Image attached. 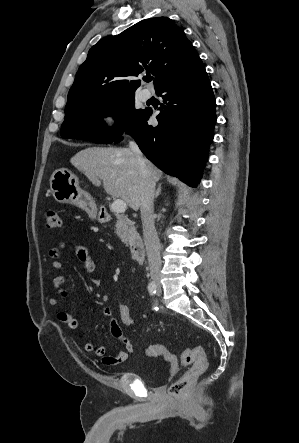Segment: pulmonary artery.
<instances>
[{
    "label": "pulmonary artery",
    "mask_w": 299,
    "mask_h": 443,
    "mask_svg": "<svg viewBox=\"0 0 299 443\" xmlns=\"http://www.w3.org/2000/svg\"><path fill=\"white\" fill-rule=\"evenodd\" d=\"M150 97H151V94L147 90L142 91L141 94H140V98H141L142 101H147V100L150 99Z\"/></svg>",
    "instance_id": "pulmonary-artery-1"
}]
</instances>
